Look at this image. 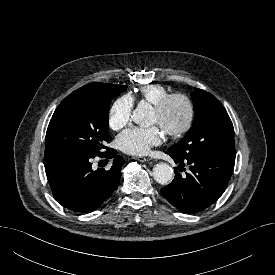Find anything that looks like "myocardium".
<instances>
[{"label": "myocardium", "instance_id": "f54148a6", "mask_svg": "<svg viewBox=\"0 0 275 275\" xmlns=\"http://www.w3.org/2000/svg\"><path fill=\"white\" fill-rule=\"evenodd\" d=\"M174 101H181L185 105V120L179 127H162V130L167 136L177 138L185 135L191 129L195 120V105L190 96L182 92L169 93L154 105V110L159 115H164Z\"/></svg>", "mask_w": 275, "mask_h": 275}]
</instances>
